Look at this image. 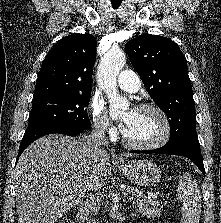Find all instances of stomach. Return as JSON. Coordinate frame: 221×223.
<instances>
[{
	"label": "stomach",
	"mask_w": 221,
	"mask_h": 223,
	"mask_svg": "<svg viewBox=\"0 0 221 223\" xmlns=\"http://www.w3.org/2000/svg\"><path fill=\"white\" fill-rule=\"evenodd\" d=\"M118 169L138 186H152L161 178L160 168L149 160H134L119 164Z\"/></svg>",
	"instance_id": "obj_1"
}]
</instances>
